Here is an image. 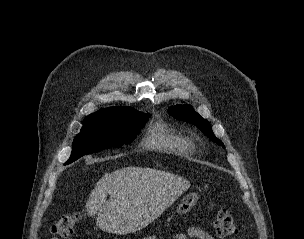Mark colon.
Segmentation results:
<instances>
[{"label":"colon","mask_w":304,"mask_h":239,"mask_svg":"<svg viewBox=\"0 0 304 239\" xmlns=\"http://www.w3.org/2000/svg\"><path fill=\"white\" fill-rule=\"evenodd\" d=\"M80 217L78 212H74L63 215L56 220L52 226V233L56 235L55 238L67 239L71 237ZM213 226L216 234L221 238L234 237L238 234V227L225 208L216 210Z\"/></svg>","instance_id":"colon-1"}]
</instances>
